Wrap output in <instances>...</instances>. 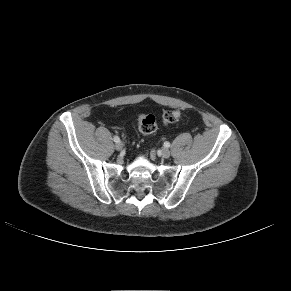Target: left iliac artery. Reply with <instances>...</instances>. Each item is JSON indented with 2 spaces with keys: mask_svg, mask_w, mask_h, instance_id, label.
I'll return each mask as SVG.
<instances>
[{
  "mask_svg": "<svg viewBox=\"0 0 291 291\" xmlns=\"http://www.w3.org/2000/svg\"><path fill=\"white\" fill-rule=\"evenodd\" d=\"M164 146H165L166 148H169V147H170V143H169V142H165V143H164Z\"/></svg>",
  "mask_w": 291,
  "mask_h": 291,
  "instance_id": "obj_1",
  "label": "left iliac artery"
}]
</instances>
